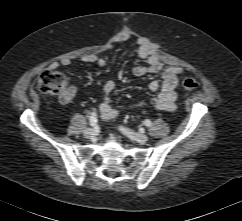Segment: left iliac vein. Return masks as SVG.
<instances>
[{"mask_svg": "<svg viewBox=\"0 0 242 221\" xmlns=\"http://www.w3.org/2000/svg\"><path fill=\"white\" fill-rule=\"evenodd\" d=\"M119 129L123 134L127 135L128 137H130L131 139L135 140L138 143L145 144L149 140V137L145 134L134 132L125 127H120Z\"/></svg>", "mask_w": 242, "mask_h": 221, "instance_id": "obj_1", "label": "left iliac vein"}]
</instances>
